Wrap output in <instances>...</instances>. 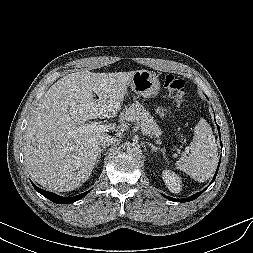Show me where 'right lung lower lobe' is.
I'll return each mask as SVG.
<instances>
[{
	"mask_svg": "<svg viewBox=\"0 0 253 253\" xmlns=\"http://www.w3.org/2000/svg\"><path fill=\"white\" fill-rule=\"evenodd\" d=\"M32 185L36 189L37 192H39L40 194H42L43 196L48 198L50 201H52L54 203H58V204H68V203L75 202V201L83 198L88 193V191H87V192L82 193L80 195L67 198V197H62V196L56 195L52 192L42 190V189L38 188L37 186H35L33 183H32Z\"/></svg>",
	"mask_w": 253,
	"mask_h": 253,
	"instance_id": "right-lung-lower-lobe-1",
	"label": "right lung lower lobe"
}]
</instances>
